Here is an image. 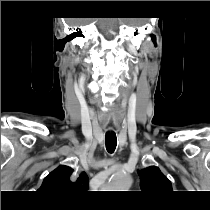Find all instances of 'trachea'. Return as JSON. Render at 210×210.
<instances>
[{
	"label": "trachea",
	"instance_id": "obj_1",
	"mask_svg": "<svg viewBox=\"0 0 210 210\" xmlns=\"http://www.w3.org/2000/svg\"><path fill=\"white\" fill-rule=\"evenodd\" d=\"M106 149L109 153H113L116 149L117 138L115 132L106 133L105 136Z\"/></svg>",
	"mask_w": 210,
	"mask_h": 210
}]
</instances>
